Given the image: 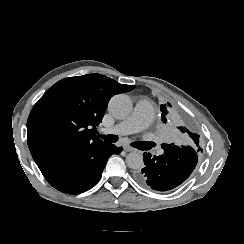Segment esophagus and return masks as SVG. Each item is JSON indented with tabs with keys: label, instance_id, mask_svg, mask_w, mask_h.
<instances>
[{
	"label": "esophagus",
	"instance_id": "1",
	"mask_svg": "<svg viewBox=\"0 0 244 244\" xmlns=\"http://www.w3.org/2000/svg\"><path fill=\"white\" fill-rule=\"evenodd\" d=\"M123 149L126 151V152H133L135 151L134 148L130 147V146H127V145H124L123 146Z\"/></svg>",
	"mask_w": 244,
	"mask_h": 244
}]
</instances>
